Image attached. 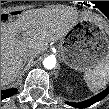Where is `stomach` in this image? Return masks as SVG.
Masks as SVG:
<instances>
[{"label":"stomach","instance_id":"1","mask_svg":"<svg viewBox=\"0 0 109 109\" xmlns=\"http://www.w3.org/2000/svg\"><path fill=\"white\" fill-rule=\"evenodd\" d=\"M58 47L65 64L76 72H88L109 59L108 35L101 24L90 20H79L60 39Z\"/></svg>","mask_w":109,"mask_h":109}]
</instances>
